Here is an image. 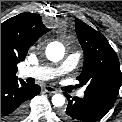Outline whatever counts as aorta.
Instances as JSON below:
<instances>
[{"mask_svg":"<svg viewBox=\"0 0 122 122\" xmlns=\"http://www.w3.org/2000/svg\"><path fill=\"white\" fill-rule=\"evenodd\" d=\"M65 48L59 42H52L46 48V56L52 62H58L63 59ZM52 104L55 107H62L65 104V97L62 94H54L52 97Z\"/></svg>","mask_w":122,"mask_h":122,"instance_id":"obj_1","label":"aorta"}]
</instances>
